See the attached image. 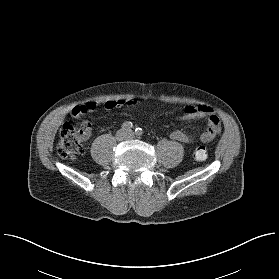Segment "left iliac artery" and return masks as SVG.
I'll return each mask as SVG.
<instances>
[{"label":"left iliac artery","instance_id":"1","mask_svg":"<svg viewBox=\"0 0 279 279\" xmlns=\"http://www.w3.org/2000/svg\"><path fill=\"white\" fill-rule=\"evenodd\" d=\"M142 133H143V130H142V128H136V130H135V134L137 135V136H140V135H142Z\"/></svg>","mask_w":279,"mask_h":279}]
</instances>
